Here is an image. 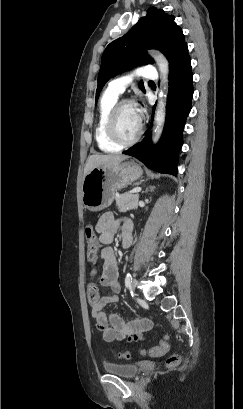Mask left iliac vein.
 <instances>
[{
  "mask_svg": "<svg viewBox=\"0 0 243 409\" xmlns=\"http://www.w3.org/2000/svg\"><path fill=\"white\" fill-rule=\"evenodd\" d=\"M136 285H137V280L134 279L133 282H132V289L133 290L135 289Z\"/></svg>",
  "mask_w": 243,
  "mask_h": 409,
  "instance_id": "obj_1",
  "label": "left iliac vein"
}]
</instances>
